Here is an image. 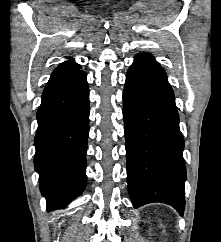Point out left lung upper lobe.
I'll return each instance as SVG.
<instances>
[{
  "instance_id": "5c2ea615",
  "label": "left lung upper lobe",
  "mask_w": 221,
  "mask_h": 242,
  "mask_svg": "<svg viewBox=\"0 0 221 242\" xmlns=\"http://www.w3.org/2000/svg\"><path fill=\"white\" fill-rule=\"evenodd\" d=\"M149 72L154 73L156 76L167 79V75L160 64L149 54L139 53L135 56L134 63Z\"/></svg>"
}]
</instances>
